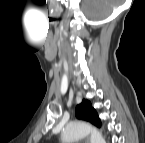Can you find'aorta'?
<instances>
[{
  "label": "aorta",
  "instance_id": "1",
  "mask_svg": "<svg viewBox=\"0 0 145 143\" xmlns=\"http://www.w3.org/2000/svg\"><path fill=\"white\" fill-rule=\"evenodd\" d=\"M87 135H90L91 143H105L102 133L83 121L69 123L62 132V139L66 143H71Z\"/></svg>",
  "mask_w": 145,
  "mask_h": 143
}]
</instances>
